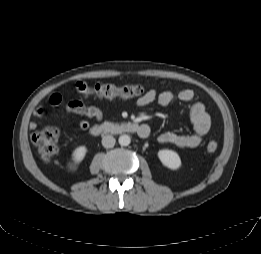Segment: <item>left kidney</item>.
I'll use <instances>...</instances> for the list:
<instances>
[{"label":"left kidney","instance_id":"left-kidney-1","mask_svg":"<svg viewBox=\"0 0 261 254\" xmlns=\"http://www.w3.org/2000/svg\"><path fill=\"white\" fill-rule=\"evenodd\" d=\"M158 158L164 166L169 169L177 170L181 167V159L179 155L168 149H163L158 151Z\"/></svg>","mask_w":261,"mask_h":254}]
</instances>
